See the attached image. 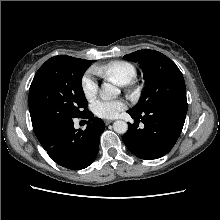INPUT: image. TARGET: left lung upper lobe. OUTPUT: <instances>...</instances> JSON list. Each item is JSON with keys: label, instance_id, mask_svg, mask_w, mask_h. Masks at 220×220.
<instances>
[{"label": "left lung upper lobe", "instance_id": "obj_1", "mask_svg": "<svg viewBox=\"0 0 220 220\" xmlns=\"http://www.w3.org/2000/svg\"><path fill=\"white\" fill-rule=\"evenodd\" d=\"M139 62L145 77L142 96L131 112L142 114L157 104L175 99H186V87L177 65L164 54L149 49L124 56Z\"/></svg>", "mask_w": 220, "mask_h": 220}]
</instances>
